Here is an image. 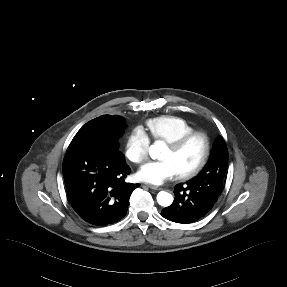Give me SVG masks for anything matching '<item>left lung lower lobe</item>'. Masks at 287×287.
I'll return each mask as SVG.
<instances>
[{"mask_svg": "<svg viewBox=\"0 0 287 287\" xmlns=\"http://www.w3.org/2000/svg\"><path fill=\"white\" fill-rule=\"evenodd\" d=\"M220 192L221 189L213 184L210 191H205L201 186L190 181L186 184H177L174 188L173 203L164 208L161 215L176 223L194 222L210 211Z\"/></svg>", "mask_w": 287, "mask_h": 287, "instance_id": "left-lung-lower-lobe-1", "label": "left lung lower lobe"}]
</instances>
